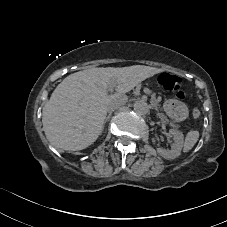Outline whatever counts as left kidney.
<instances>
[{
    "instance_id": "left-kidney-1",
    "label": "left kidney",
    "mask_w": 227,
    "mask_h": 227,
    "mask_svg": "<svg viewBox=\"0 0 227 227\" xmlns=\"http://www.w3.org/2000/svg\"><path fill=\"white\" fill-rule=\"evenodd\" d=\"M169 133L173 135L174 143L170 150H165L163 148H158L157 152L165 159H175L181 154V150L184 144V135L181 131L176 129H170Z\"/></svg>"
}]
</instances>
